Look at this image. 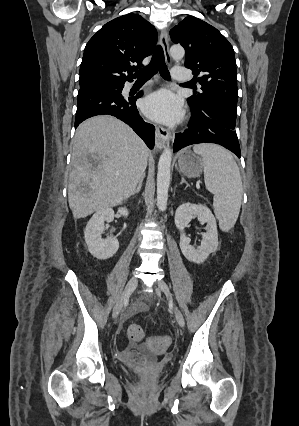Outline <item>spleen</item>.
<instances>
[{
    "mask_svg": "<svg viewBox=\"0 0 299 426\" xmlns=\"http://www.w3.org/2000/svg\"><path fill=\"white\" fill-rule=\"evenodd\" d=\"M204 162L206 188L214 194V213L224 231L231 229L238 218L243 194L239 168L232 155L224 148L213 144H198L193 147Z\"/></svg>",
    "mask_w": 299,
    "mask_h": 426,
    "instance_id": "3e777b00",
    "label": "spleen"
}]
</instances>
